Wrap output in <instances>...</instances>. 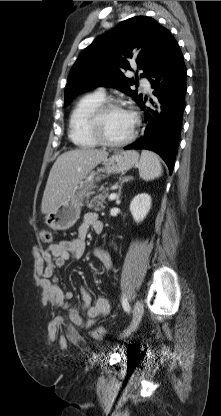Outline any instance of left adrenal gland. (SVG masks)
<instances>
[{
	"label": "left adrenal gland",
	"instance_id": "left-adrenal-gland-1",
	"mask_svg": "<svg viewBox=\"0 0 221 416\" xmlns=\"http://www.w3.org/2000/svg\"><path fill=\"white\" fill-rule=\"evenodd\" d=\"M131 179H133L132 176H124V177L119 178L120 185H119V188H118V195H117V199H116L117 201L119 200V197L121 195V190H122L123 183L128 182Z\"/></svg>",
	"mask_w": 221,
	"mask_h": 416
}]
</instances>
